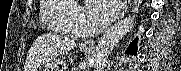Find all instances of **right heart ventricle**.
Listing matches in <instances>:
<instances>
[{
    "label": "right heart ventricle",
    "instance_id": "obj_1",
    "mask_svg": "<svg viewBox=\"0 0 181 71\" xmlns=\"http://www.w3.org/2000/svg\"><path fill=\"white\" fill-rule=\"evenodd\" d=\"M78 13L73 1L45 0L41 4V18L48 28L69 36H76L80 32L75 24Z\"/></svg>",
    "mask_w": 181,
    "mask_h": 71
}]
</instances>
